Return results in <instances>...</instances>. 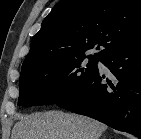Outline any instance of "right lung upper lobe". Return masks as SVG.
<instances>
[{
    "label": "right lung upper lobe",
    "instance_id": "right-lung-upper-lobe-1",
    "mask_svg": "<svg viewBox=\"0 0 141 139\" xmlns=\"http://www.w3.org/2000/svg\"><path fill=\"white\" fill-rule=\"evenodd\" d=\"M139 41L141 0H64L42 22L22 70L85 56L95 45L101 59Z\"/></svg>",
    "mask_w": 141,
    "mask_h": 139
}]
</instances>
